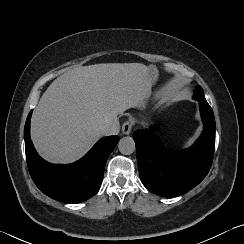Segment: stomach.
I'll return each instance as SVG.
<instances>
[{
    "mask_svg": "<svg viewBox=\"0 0 244 244\" xmlns=\"http://www.w3.org/2000/svg\"><path fill=\"white\" fill-rule=\"evenodd\" d=\"M159 78V71L155 65H150L147 67V71L144 74V83L146 86L147 92H150L152 86L156 84Z\"/></svg>",
    "mask_w": 244,
    "mask_h": 244,
    "instance_id": "stomach-1",
    "label": "stomach"
}]
</instances>
